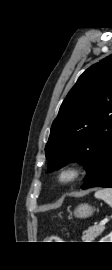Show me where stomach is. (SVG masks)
<instances>
[{"label": "stomach", "instance_id": "0dacf381", "mask_svg": "<svg viewBox=\"0 0 112 270\" xmlns=\"http://www.w3.org/2000/svg\"><path fill=\"white\" fill-rule=\"evenodd\" d=\"M93 208L88 204H80L75 210L74 215L78 218H87L93 214Z\"/></svg>", "mask_w": 112, "mask_h": 270}]
</instances>
